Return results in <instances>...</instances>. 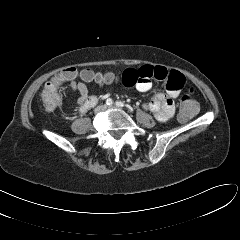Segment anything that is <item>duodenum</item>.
Masks as SVG:
<instances>
[{
    "label": "duodenum",
    "instance_id": "1",
    "mask_svg": "<svg viewBox=\"0 0 240 240\" xmlns=\"http://www.w3.org/2000/svg\"><path fill=\"white\" fill-rule=\"evenodd\" d=\"M96 102H97L96 98H91L89 100V102L87 103V105L82 109V111H84V110H86L88 108L93 107L96 104Z\"/></svg>",
    "mask_w": 240,
    "mask_h": 240
}]
</instances>
